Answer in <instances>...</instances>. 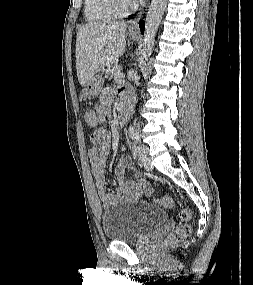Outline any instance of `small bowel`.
I'll return each instance as SVG.
<instances>
[{
    "label": "small bowel",
    "mask_w": 253,
    "mask_h": 285,
    "mask_svg": "<svg viewBox=\"0 0 253 285\" xmlns=\"http://www.w3.org/2000/svg\"><path fill=\"white\" fill-rule=\"evenodd\" d=\"M119 92L122 97L129 96L128 90L121 88ZM113 100V91L105 89L100 98V105L96 112L99 122L104 124L111 115V103ZM90 147L88 157L96 187L99 192L101 203L104 208H108L121 201H136L141 195H151L153 190L151 186L143 179L124 180L127 168L126 160L123 158L115 170V177L118 183L119 194L106 192V178L104 170L110 153V134L104 125L97 128L90 137Z\"/></svg>",
    "instance_id": "c3829d8e"
}]
</instances>
